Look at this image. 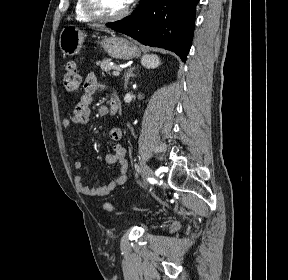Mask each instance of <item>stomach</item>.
Returning <instances> with one entry per match:
<instances>
[{
	"mask_svg": "<svg viewBox=\"0 0 288 280\" xmlns=\"http://www.w3.org/2000/svg\"><path fill=\"white\" fill-rule=\"evenodd\" d=\"M84 38L85 34L78 27L73 25L64 27L59 39L61 51L68 56L78 54ZM100 44L108 55L116 59L129 60L137 57L140 53L139 48L134 43L123 37H104Z\"/></svg>",
	"mask_w": 288,
	"mask_h": 280,
	"instance_id": "stomach-1",
	"label": "stomach"
}]
</instances>
